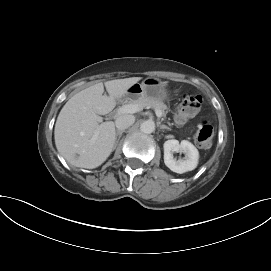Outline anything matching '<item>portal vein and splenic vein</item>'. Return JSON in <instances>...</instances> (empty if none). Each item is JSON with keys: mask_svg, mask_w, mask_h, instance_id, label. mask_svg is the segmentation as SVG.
Instances as JSON below:
<instances>
[{"mask_svg": "<svg viewBox=\"0 0 271 271\" xmlns=\"http://www.w3.org/2000/svg\"><path fill=\"white\" fill-rule=\"evenodd\" d=\"M143 108H141L139 105L137 104H126L123 105L122 107H120L117 111L118 115L121 114H133L136 112H139L140 110H142ZM156 116L157 117H162V112L160 110H155Z\"/></svg>", "mask_w": 271, "mask_h": 271, "instance_id": "obj_1", "label": "portal vein and splenic vein"}]
</instances>
